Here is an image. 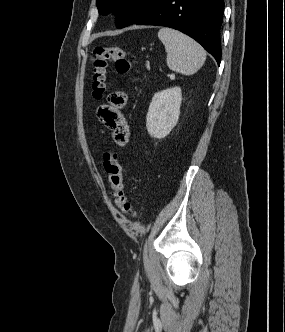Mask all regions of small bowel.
I'll list each match as a JSON object with an SVG mask.
<instances>
[{
	"instance_id": "small-bowel-1",
	"label": "small bowel",
	"mask_w": 285,
	"mask_h": 332,
	"mask_svg": "<svg viewBox=\"0 0 285 332\" xmlns=\"http://www.w3.org/2000/svg\"><path fill=\"white\" fill-rule=\"evenodd\" d=\"M127 99L128 97L124 92H113L109 96V103L100 106L97 110L99 121L112 131L113 140L120 147H124L130 137L129 126L122 113Z\"/></svg>"
}]
</instances>
